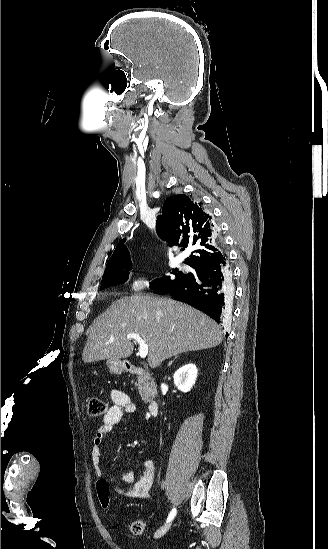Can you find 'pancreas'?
Segmentation results:
<instances>
[{
	"label": "pancreas",
	"mask_w": 328,
	"mask_h": 549,
	"mask_svg": "<svg viewBox=\"0 0 328 549\" xmlns=\"http://www.w3.org/2000/svg\"><path fill=\"white\" fill-rule=\"evenodd\" d=\"M136 387H138L144 403H147L151 395H156L157 393V385L156 383H153V381H150V377H148V375H144V377H137Z\"/></svg>",
	"instance_id": "obj_1"
}]
</instances>
